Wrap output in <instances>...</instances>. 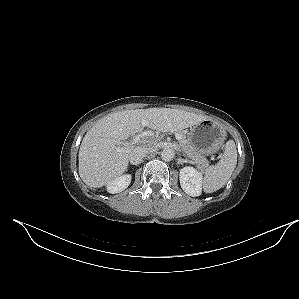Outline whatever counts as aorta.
Segmentation results:
<instances>
[{
  "mask_svg": "<svg viewBox=\"0 0 299 299\" xmlns=\"http://www.w3.org/2000/svg\"><path fill=\"white\" fill-rule=\"evenodd\" d=\"M175 157V151L172 148H164L161 152V158L164 161H171Z\"/></svg>",
  "mask_w": 299,
  "mask_h": 299,
  "instance_id": "1",
  "label": "aorta"
}]
</instances>
